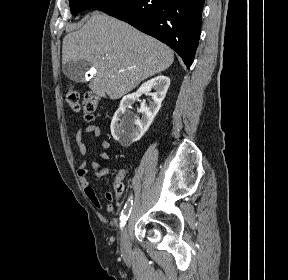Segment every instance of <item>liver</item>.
Returning <instances> with one entry per match:
<instances>
[{
  "label": "liver",
  "instance_id": "1",
  "mask_svg": "<svg viewBox=\"0 0 288 280\" xmlns=\"http://www.w3.org/2000/svg\"><path fill=\"white\" fill-rule=\"evenodd\" d=\"M73 60H85L96 68L89 83L94 94L119 99L170 67L174 53L131 25L94 11L79 30L63 39L62 63Z\"/></svg>",
  "mask_w": 288,
  "mask_h": 280
}]
</instances>
